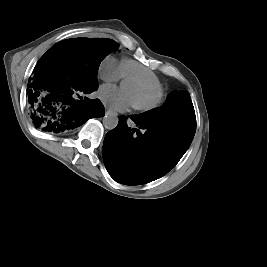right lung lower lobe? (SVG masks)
I'll return each instance as SVG.
<instances>
[{"label": "right lung lower lobe", "instance_id": "right-lung-lower-lobe-1", "mask_svg": "<svg viewBox=\"0 0 267 267\" xmlns=\"http://www.w3.org/2000/svg\"><path fill=\"white\" fill-rule=\"evenodd\" d=\"M29 82V114L34 126L42 131L68 132L105 114L99 99L82 100L79 96L92 93L98 86L79 85L56 65L39 60Z\"/></svg>", "mask_w": 267, "mask_h": 267}]
</instances>
